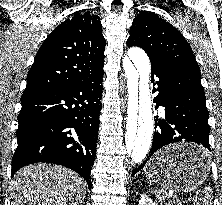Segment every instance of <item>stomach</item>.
Returning <instances> with one entry per match:
<instances>
[{
  "mask_svg": "<svg viewBox=\"0 0 222 205\" xmlns=\"http://www.w3.org/2000/svg\"><path fill=\"white\" fill-rule=\"evenodd\" d=\"M193 150H203V148L188 142L165 147L148 162L146 167L148 177L164 189L176 191L196 189L209 175V162L184 166L174 161L179 152Z\"/></svg>",
  "mask_w": 222,
  "mask_h": 205,
  "instance_id": "stomach-1",
  "label": "stomach"
}]
</instances>
